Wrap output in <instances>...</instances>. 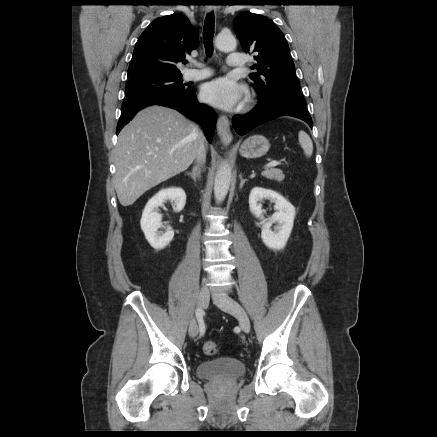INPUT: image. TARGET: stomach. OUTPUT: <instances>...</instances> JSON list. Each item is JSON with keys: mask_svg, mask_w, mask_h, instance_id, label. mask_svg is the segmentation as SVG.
<instances>
[{"mask_svg": "<svg viewBox=\"0 0 437 437\" xmlns=\"http://www.w3.org/2000/svg\"><path fill=\"white\" fill-rule=\"evenodd\" d=\"M269 148L270 143L267 138L262 135H253L244 140L239 152L242 157L253 159L264 156Z\"/></svg>", "mask_w": 437, "mask_h": 437, "instance_id": "obj_1", "label": "stomach"}]
</instances>
